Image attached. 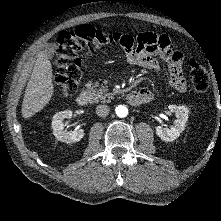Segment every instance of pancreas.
Returning a JSON list of instances; mask_svg holds the SVG:
<instances>
[{"instance_id":"pancreas-1","label":"pancreas","mask_w":221,"mask_h":221,"mask_svg":"<svg viewBox=\"0 0 221 221\" xmlns=\"http://www.w3.org/2000/svg\"><path fill=\"white\" fill-rule=\"evenodd\" d=\"M86 88L92 102H110L115 95V93H109L108 88L103 85L100 86L98 82H89L86 84Z\"/></svg>"}]
</instances>
